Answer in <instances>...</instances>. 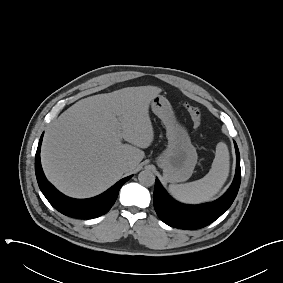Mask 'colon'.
<instances>
[{"label":"colon","instance_id":"1","mask_svg":"<svg viewBox=\"0 0 283 283\" xmlns=\"http://www.w3.org/2000/svg\"><path fill=\"white\" fill-rule=\"evenodd\" d=\"M195 127H199L202 121V114L199 108L196 106L186 104L185 105Z\"/></svg>","mask_w":283,"mask_h":283}]
</instances>
